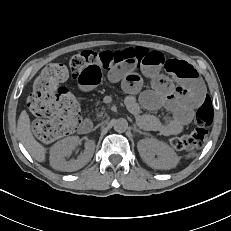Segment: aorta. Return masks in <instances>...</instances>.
I'll list each match as a JSON object with an SVG mask.
<instances>
[{"label":"aorta","mask_w":231,"mask_h":231,"mask_svg":"<svg viewBox=\"0 0 231 231\" xmlns=\"http://www.w3.org/2000/svg\"><path fill=\"white\" fill-rule=\"evenodd\" d=\"M113 127L116 132L122 133L128 129V122L124 118L114 120Z\"/></svg>","instance_id":"obj_1"}]
</instances>
